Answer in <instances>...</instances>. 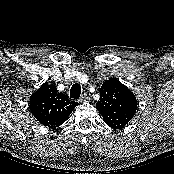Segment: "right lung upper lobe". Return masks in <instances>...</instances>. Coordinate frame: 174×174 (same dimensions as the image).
<instances>
[{"label":"right lung upper lobe","mask_w":174,"mask_h":174,"mask_svg":"<svg viewBox=\"0 0 174 174\" xmlns=\"http://www.w3.org/2000/svg\"><path fill=\"white\" fill-rule=\"evenodd\" d=\"M77 102L70 101L65 94L59 93L55 85L44 83L29 100V109L44 126L56 128L64 123Z\"/></svg>","instance_id":"obj_1"}]
</instances>
